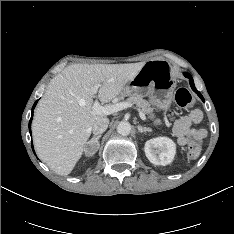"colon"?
Here are the masks:
<instances>
[{
  "mask_svg": "<svg viewBox=\"0 0 234 234\" xmlns=\"http://www.w3.org/2000/svg\"><path fill=\"white\" fill-rule=\"evenodd\" d=\"M175 102L181 108H188L194 103V97L186 88H179L175 93ZM201 153V146L194 144L188 149V157L196 159Z\"/></svg>",
  "mask_w": 234,
  "mask_h": 234,
  "instance_id": "1",
  "label": "colon"
}]
</instances>
